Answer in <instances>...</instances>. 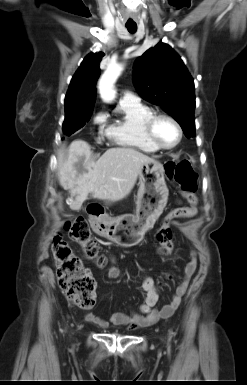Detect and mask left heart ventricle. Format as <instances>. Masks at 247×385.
Wrapping results in <instances>:
<instances>
[{
  "label": "left heart ventricle",
  "mask_w": 247,
  "mask_h": 385,
  "mask_svg": "<svg viewBox=\"0 0 247 385\" xmlns=\"http://www.w3.org/2000/svg\"><path fill=\"white\" fill-rule=\"evenodd\" d=\"M155 134L158 141L165 146H171L178 140V131L175 125L166 119H160L156 122Z\"/></svg>",
  "instance_id": "obj_1"
}]
</instances>
